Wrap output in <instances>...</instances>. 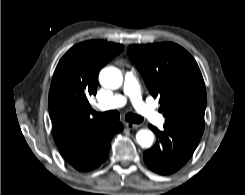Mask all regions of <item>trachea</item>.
Here are the masks:
<instances>
[{
	"label": "trachea",
	"mask_w": 245,
	"mask_h": 195,
	"mask_svg": "<svg viewBox=\"0 0 245 195\" xmlns=\"http://www.w3.org/2000/svg\"><path fill=\"white\" fill-rule=\"evenodd\" d=\"M92 114L97 119H104V120H118L120 118V113L116 110L104 112V113H97L95 111H92ZM126 120L131 123H140L143 121V118L135 115L133 113H128L125 116Z\"/></svg>",
	"instance_id": "obj_1"
}]
</instances>
